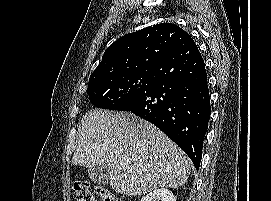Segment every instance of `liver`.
<instances>
[{"instance_id":"obj_1","label":"liver","mask_w":271,"mask_h":201,"mask_svg":"<svg viewBox=\"0 0 271 201\" xmlns=\"http://www.w3.org/2000/svg\"><path fill=\"white\" fill-rule=\"evenodd\" d=\"M72 163L87 168L106 163L111 188L132 196L182 186L191 164L153 124L132 113L100 109L82 118Z\"/></svg>"}]
</instances>
